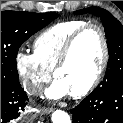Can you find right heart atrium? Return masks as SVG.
<instances>
[{
  "instance_id": "1",
  "label": "right heart atrium",
  "mask_w": 123,
  "mask_h": 123,
  "mask_svg": "<svg viewBox=\"0 0 123 123\" xmlns=\"http://www.w3.org/2000/svg\"><path fill=\"white\" fill-rule=\"evenodd\" d=\"M15 68L25 90L37 94L51 77V70L46 68L34 53L18 51L15 55Z\"/></svg>"
}]
</instances>
